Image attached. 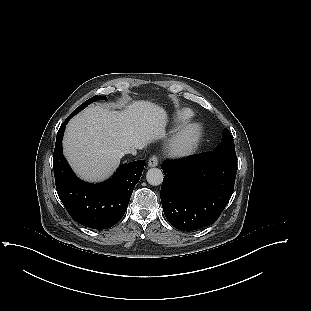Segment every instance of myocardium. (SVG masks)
Wrapping results in <instances>:
<instances>
[{"mask_svg":"<svg viewBox=\"0 0 311 311\" xmlns=\"http://www.w3.org/2000/svg\"><path fill=\"white\" fill-rule=\"evenodd\" d=\"M203 128L198 122L185 124L170 138L166 150L174 158H182L192 154L202 138Z\"/></svg>","mask_w":311,"mask_h":311,"instance_id":"f54148a6","label":"myocardium"}]
</instances>
